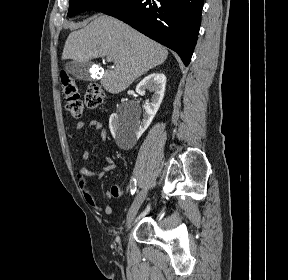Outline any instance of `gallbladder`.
I'll list each match as a JSON object with an SVG mask.
<instances>
[{
	"label": "gallbladder",
	"instance_id": "bac80fb5",
	"mask_svg": "<svg viewBox=\"0 0 288 280\" xmlns=\"http://www.w3.org/2000/svg\"><path fill=\"white\" fill-rule=\"evenodd\" d=\"M90 62L72 61L65 65V71L73 77L80 80H90L89 68Z\"/></svg>",
	"mask_w": 288,
	"mask_h": 280
}]
</instances>
